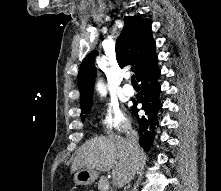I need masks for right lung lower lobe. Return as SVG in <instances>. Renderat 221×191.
<instances>
[{
    "label": "right lung lower lobe",
    "mask_w": 221,
    "mask_h": 191,
    "mask_svg": "<svg viewBox=\"0 0 221 191\" xmlns=\"http://www.w3.org/2000/svg\"><path fill=\"white\" fill-rule=\"evenodd\" d=\"M160 69L157 61L145 69L138 77L137 80L141 82L142 90L137 95V101L142 104V109L145 110V116L139 117L137 114V102H133L131 107L134 112L139 125V143L144 150H149L152 146L155 129L158 123L157 113L161 109L162 104L159 100L160 85L158 77Z\"/></svg>",
    "instance_id": "obj_1"
}]
</instances>
